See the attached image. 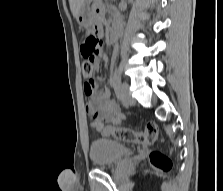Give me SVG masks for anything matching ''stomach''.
<instances>
[{
  "label": "stomach",
  "instance_id": "1",
  "mask_svg": "<svg viewBox=\"0 0 223 191\" xmlns=\"http://www.w3.org/2000/svg\"><path fill=\"white\" fill-rule=\"evenodd\" d=\"M90 1L91 0H85V3L77 17L79 25L84 28H90L94 23V13L90 8Z\"/></svg>",
  "mask_w": 223,
  "mask_h": 191
}]
</instances>
